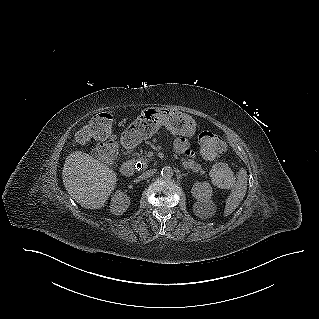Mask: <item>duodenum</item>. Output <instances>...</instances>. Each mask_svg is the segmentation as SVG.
I'll list each match as a JSON object with an SVG mask.
<instances>
[{"label": "duodenum", "mask_w": 319, "mask_h": 319, "mask_svg": "<svg viewBox=\"0 0 319 319\" xmlns=\"http://www.w3.org/2000/svg\"><path fill=\"white\" fill-rule=\"evenodd\" d=\"M123 144L126 148H130L134 144V140L132 137L127 136L123 139ZM120 171L123 176H131L135 171V165L132 162H125Z\"/></svg>", "instance_id": "duodenum-1"}]
</instances>
